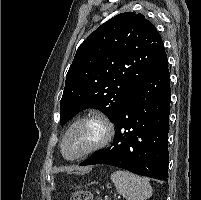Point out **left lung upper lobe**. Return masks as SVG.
I'll return each instance as SVG.
<instances>
[{
  "label": "left lung upper lobe",
  "instance_id": "obj_1",
  "mask_svg": "<svg viewBox=\"0 0 201 200\" xmlns=\"http://www.w3.org/2000/svg\"><path fill=\"white\" fill-rule=\"evenodd\" d=\"M165 54L155 26L142 14L121 13L78 47L60 101L61 125L95 108L112 121L128 95Z\"/></svg>",
  "mask_w": 201,
  "mask_h": 200
}]
</instances>
